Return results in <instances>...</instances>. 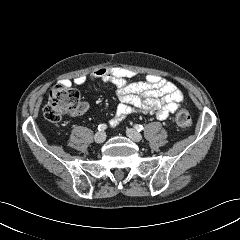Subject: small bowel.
<instances>
[{"label":"small bowel","mask_w":240,"mask_h":240,"mask_svg":"<svg viewBox=\"0 0 240 240\" xmlns=\"http://www.w3.org/2000/svg\"><path fill=\"white\" fill-rule=\"evenodd\" d=\"M136 76L135 71L121 67L98 68L89 76L92 81L101 80L116 88L119 104L110 120L112 127L136 112L154 113L158 119L164 120L181 107L183 94L174 83L157 75L135 81ZM87 79L82 75L73 80L63 79L60 84L83 85ZM85 108V105H82L76 112L81 113Z\"/></svg>","instance_id":"small-bowel-1"}]
</instances>
